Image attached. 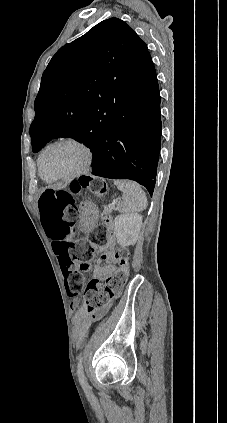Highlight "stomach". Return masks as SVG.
Returning a JSON list of instances; mask_svg holds the SVG:
<instances>
[{"label": "stomach", "mask_w": 227, "mask_h": 423, "mask_svg": "<svg viewBox=\"0 0 227 423\" xmlns=\"http://www.w3.org/2000/svg\"><path fill=\"white\" fill-rule=\"evenodd\" d=\"M98 198H102V196H98Z\"/></svg>", "instance_id": "obj_1"}]
</instances>
